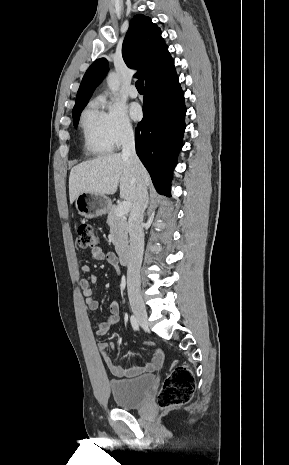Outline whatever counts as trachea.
Wrapping results in <instances>:
<instances>
[{
  "instance_id": "trachea-1",
  "label": "trachea",
  "mask_w": 289,
  "mask_h": 465,
  "mask_svg": "<svg viewBox=\"0 0 289 465\" xmlns=\"http://www.w3.org/2000/svg\"><path fill=\"white\" fill-rule=\"evenodd\" d=\"M135 85H136V88H137L138 91H144V81H143V79L137 80Z\"/></svg>"
}]
</instances>
